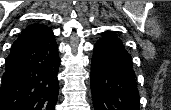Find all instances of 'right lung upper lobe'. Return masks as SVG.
<instances>
[{
	"label": "right lung upper lobe",
	"mask_w": 171,
	"mask_h": 110,
	"mask_svg": "<svg viewBox=\"0 0 171 110\" xmlns=\"http://www.w3.org/2000/svg\"><path fill=\"white\" fill-rule=\"evenodd\" d=\"M51 32L52 30L44 24H31L27 29H24L21 32V35L13 43L11 47V53L8 58H11L16 51L42 40Z\"/></svg>",
	"instance_id": "cb5924a9"
}]
</instances>
